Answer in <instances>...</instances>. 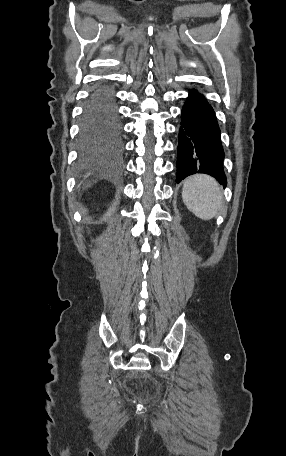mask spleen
I'll use <instances>...</instances> for the list:
<instances>
[{
  "instance_id": "obj_1",
  "label": "spleen",
  "mask_w": 286,
  "mask_h": 456,
  "mask_svg": "<svg viewBox=\"0 0 286 456\" xmlns=\"http://www.w3.org/2000/svg\"><path fill=\"white\" fill-rule=\"evenodd\" d=\"M182 199L198 218L211 220L222 208L224 198L218 182L213 177L197 174L185 180Z\"/></svg>"
}]
</instances>
